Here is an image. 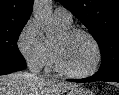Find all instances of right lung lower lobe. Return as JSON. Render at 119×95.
I'll return each mask as SVG.
<instances>
[{"mask_svg":"<svg viewBox=\"0 0 119 95\" xmlns=\"http://www.w3.org/2000/svg\"><path fill=\"white\" fill-rule=\"evenodd\" d=\"M26 68V64L0 63V75L9 74Z\"/></svg>","mask_w":119,"mask_h":95,"instance_id":"obj_1","label":"right lung lower lobe"}]
</instances>
